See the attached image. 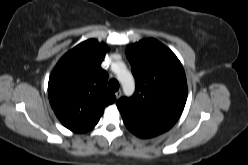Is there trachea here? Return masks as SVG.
Segmentation results:
<instances>
[{"mask_svg":"<svg viewBox=\"0 0 248 165\" xmlns=\"http://www.w3.org/2000/svg\"><path fill=\"white\" fill-rule=\"evenodd\" d=\"M108 87L111 91L116 92L119 89V83L116 79H111L108 83Z\"/></svg>","mask_w":248,"mask_h":165,"instance_id":"obj_1","label":"trachea"}]
</instances>
